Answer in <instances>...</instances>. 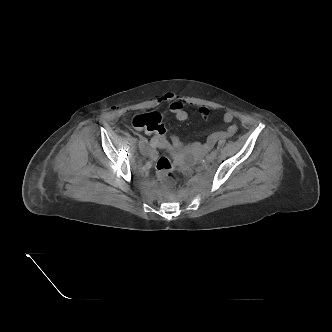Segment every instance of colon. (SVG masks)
<instances>
[{"label":"colon","mask_w":332,"mask_h":332,"mask_svg":"<svg viewBox=\"0 0 332 332\" xmlns=\"http://www.w3.org/2000/svg\"><path fill=\"white\" fill-rule=\"evenodd\" d=\"M133 125L138 129H143L153 134L161 148H168L169 143L166 140V129L162 123L161 115L158 112H149L136 115L133 119ZM156 175L159 180L173 184L177 181L175 168L171 160L167 157H160L156 162Z\"/></svg>","instance_id":"1"}]
</instances>
